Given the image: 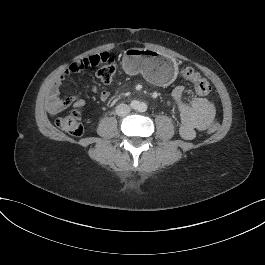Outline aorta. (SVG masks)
I'll return each mask as SVG.
<instances>
[{
	"label": "aorta",
	"mask_w": 265,
	"mask_h": 265,
	"mask_svg": "<svg viewBox=\"0 0 265 265\" xmlns=\"http://www.w3.org/2000/svg\"><path fill=\"white\" fill-rule=\"evenodd\" d=\"M135 109L138 110L139 112H144L146 111L147 106L143 102H137V104L135 105Z\"/></svg>",
	"instance_id": "1"
}]
</instances>
